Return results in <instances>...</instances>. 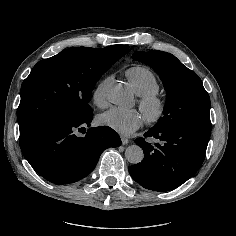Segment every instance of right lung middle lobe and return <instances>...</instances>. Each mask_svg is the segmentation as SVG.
<instances>
[{"label": "right lung middle lobe", "mask_w": 236, "mask_h": 236, "mask_svg": "<svg viewBox=\"0 0 236 236\" xmlns=\"http://www.w3.org/2000/svg\"><path fill=\"white\" fill-rule=\"evenodd\" d=\"M128 51L126 45L72 47L38 62L21 87L20 133L48 119L80 120L92 114L96 82Z\"/></svg>", "instance_id": "dd1d6c3e"}]
</instances>
